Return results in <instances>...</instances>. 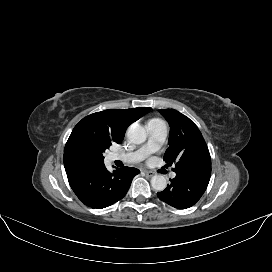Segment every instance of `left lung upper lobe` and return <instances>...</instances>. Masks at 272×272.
Instances as JSON below:
<instances>
[{
    "instance_id": "1",
    "label": "left lung upper lobe",
    "mask_w": 272,
    "mask_h": 272,
    "mask_svg": "<svg viewBox=\"0 0 272 272\" xmlns=\"http://www.w3.org/2000/svg\"><path fill=\"white\" fill-rule=\"evenodd\" d=\"M159 111L170 125L169 147L164 154L165 162L169 165L176 163L173 169L175 172L211 169L210 153L198 127L177 110Z\"/></svg>"
}]
</instances>
